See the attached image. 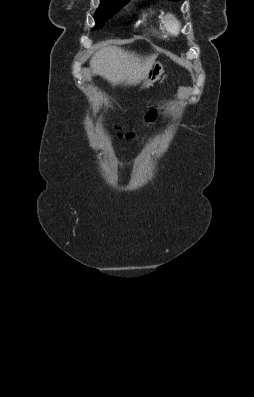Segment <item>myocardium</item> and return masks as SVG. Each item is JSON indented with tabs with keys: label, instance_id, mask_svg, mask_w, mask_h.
I'll return each mask as SVG.
<instances>
[{
	"label": "myocardium",
	"instance_id": "obj_1",
	"mask_svg": "<svg viewBox=\"0 0 254 397\" xmlns=\"http://www.w3.org/2000/svg\"><path fill=\"white\" fill-rule=\"evenodd\" d=\"M164 27L170 34L175 35L181 29V21L176 15L168 13L164 17Z\"/></svg>",
	"mask_w": 254,
	"mask_h": 397
}]
</instances>
